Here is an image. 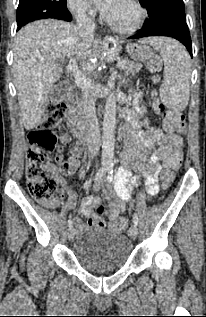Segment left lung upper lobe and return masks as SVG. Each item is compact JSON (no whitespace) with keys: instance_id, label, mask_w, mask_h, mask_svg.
<instances>
[{"instance_id":"left-lung-upper-lobe-1","label":"left lung upper lobe","mask_w":206,"mask_h":317,"mask_svg":"<svg viewBox=\"0 0 206 317\" xmlns=\"http://www.w3.org/2000/svg\"><path fill=\"white\" fill-rule=\"evenodd\" d=\"M139 2L146 7L149 15L144 25L165 18L186 21L183 0H139Z\"/></svg>"}]
</instances>
